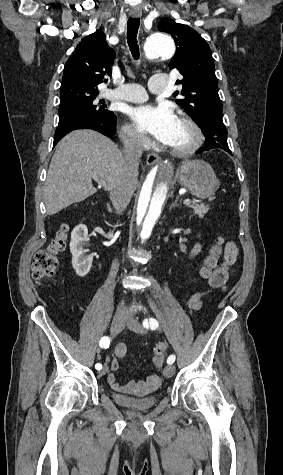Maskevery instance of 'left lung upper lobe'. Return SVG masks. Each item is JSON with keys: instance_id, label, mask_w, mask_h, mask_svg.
Wrapping results in <instances>:
<instances>
[{"instance_id": "1", "label": "left lung upper lobe", "mask_w": 283, "mask_h": 475, "mask_svg": "<svg viewBox=\"0 0 283 475\" xmlns=\"http://www.w3.org/2000/svg\"><path fill=\"white\" fill-rule=\"evenodd\" d=\"M158 30L169 33L178 46L169 64L170 69L183 75V79L176 82L182 84V91L174 93L183 98L176 99V103L185 108L198 125L209 114L222 113L214 60L207 42L191 27L169 18L159 22Z\"/></svg>"}]
</instances>
